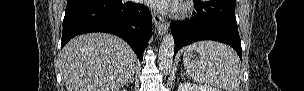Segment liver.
Segmentation results:
<instances>
[{
  "instance_id": "liver-1",
  "label": "liver",
  "mask_w": 304,
  "mask_h": 91,
  "mask_svg": "<svg viewBox=\"0 0 304 91\" xmlns=\"http://www.w3.org/2000/svg\"><path fill=\"white\" fill-rule=\"evenodd\" d=\"M136 61L125 41L106 33L77 36L61 53L67 91H119L134 75Z\"/></svg>"
}]
</instances>
